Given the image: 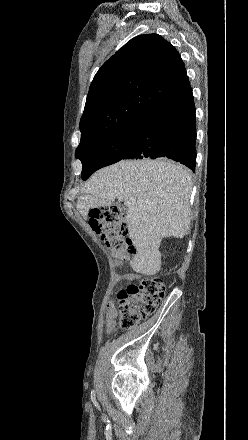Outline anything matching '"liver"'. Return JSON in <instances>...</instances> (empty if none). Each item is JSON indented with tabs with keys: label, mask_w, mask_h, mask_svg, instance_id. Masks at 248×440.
Here are the masks:
<instances>
[{
	"label": "liver",
	"mask_w": 248,
	"mask_h": 440,
	"mask_svg": "<svg viewBox=\"0 0 248 440\" xmlns=\"http://www.w3.org/2000/svg\"><path fill=\"white\" fill-rule=\"evenodd\" d=\"M191 171L171 160H122L95 172L77 201L87 219L90 209L105 207L117 198L133 200L126 224L136 249L135 271L155 274L161 269L163 238H183L190 225Z\"/></svg>",
	"instance_id": "obj_1"
}]
</instances>
